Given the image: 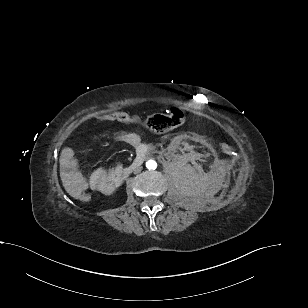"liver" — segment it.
I'll return each mask as SVG.
<instances>
[{"instance_id": "1", "label": "liver", "mask_w": 308, "mask_h": 308, "mask_svg": "<svg viewBox=\"0 0 308 308\" xmlns=\"http://www.w3.org/2000/svg\"><path fill=\"white\" fill-rule=\"evenodd\" d=\"M62 181H63V184H64V187H65L66 191H67L70 195L73 196L74 194H73L72 190L70 189V187L68 186L67 181H66V179H65L64 176L62 177Z\"/></svg>"}]
</instances>
